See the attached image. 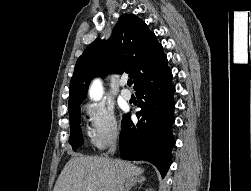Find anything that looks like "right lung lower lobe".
I'll list each match as a JSON object with an SVG mask.
<instances>
[{
    "label": "right lung lower lobe",
    "instance_id": "1",
    "mask_svg": "<svg viewBox=\"0 0 251 191\" xmlns=\"http://www.w3.org/2000/svg\"><path fill=\"white\" fill-rule=\"evenodd\" d=\"M175 86L172 73L159 81L143 85L136 90L142 110L136 113L138 123L129 114L122 120L119 149L126 160H147L154 164L164 177L171 164V148L175 144L171 127Z\"/></svg>",
    "mask_w": 251,
    "mask_h": 191
}]
</instances>
